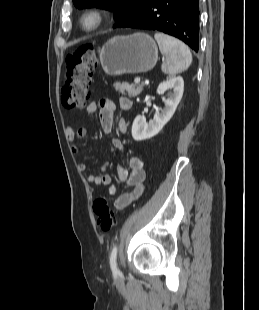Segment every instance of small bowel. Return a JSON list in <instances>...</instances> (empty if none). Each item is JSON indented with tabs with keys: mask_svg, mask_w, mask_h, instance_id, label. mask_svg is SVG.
Returning <instances> with one entry per match:
<instances>
[{
	"mask_svg": "<svg viewBox=\"0 0 259 310\" xmlns=\"http://www.w3.org/2000/svg\"><path fill=\"white\" fill-rule=\"evenodd\" d=\"M119 105L121 109L128 110L131 108V101L126 97H121L119 99ZM86 112L89 116H93L98 112L101 128L107 134L111 133L115 125L120 132L124 133L127 131V124L125 120L118 119L116 121V105L111 99L102 98L99 101L90 102L86 108ZM86 133L87 130L85 127L75 128L69 126L66 129V138L69 142H73L85 137ZM112 145L117 151H121L123 148L122 142L117 138L112 140ZM72 151L78 152L79 147L73 146ZM108 165L109 162L106 161L102 164L98 173L88 174L87 181L95 185H106L109 193L111 195H115L116 187L113 184L111 177L105 173ZM86 168L87 165L85 162H80L78 164V169L80 171H85ZM116 172L118 180L124 182L132 189L130 192L124 193L116 199L114 203L115 209L121 211L143 194L146 172L144 169L143 160L139 156H131L129 158L128 168L122 164H118L116 167Z\"/></svg>",
	"mask_w": 259,
	"mask_h": 310,
	"instance_id": "small-bowel-1",
	"label": "small bowel"
}]
</instances>
